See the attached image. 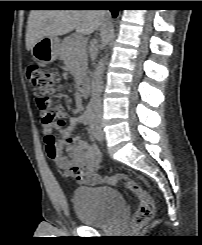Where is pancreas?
Listing matches in <instances>:
<instances>
[{"label": "pancreas", "instance_id": "cf45deb5", "mask_svg": "<svg viewBox=\"0 0 202 245\" xmlns=\"http://www.w3.org/2000/svg\"><path fill=\"white\" fill-rule=\"evenodd\" d=\"M79 40L81 38L71 36L65 38L60 46V58L74 76L76 83L82 80L87 70L86 44Z\"/></svg>", "mask_w": 202, "mask_h": 245}]
</instances>
